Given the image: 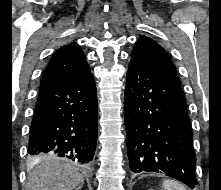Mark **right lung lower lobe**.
Instances as JSON below:
<instances>
[{
  "instance_id": "right-lung-lower-lobe-1",
  "label": "right lung lower lobe",
  "mask_w": 221,
  "mask_h": 190,
  "mask_svg": "<svg viewBox=\"0 0 221 190\" xmlns=\"http://www.w3.org/2000/svg\"><path fill=\"white\" fill-rule=\"evenodd\" d=\"M98 133L96 86L91 73L38 94L28 153L66 157L89 165Z\"/></svg>"
}]
</instances>
